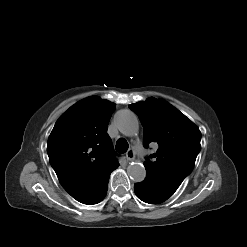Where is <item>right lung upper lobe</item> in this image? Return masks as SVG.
Segmentation results:
<instances>
[{
    "label": "right lung upper lobe",
    "mask_w": 247,
    "mask_h": 247,
    "mask_svg": "<svg viewBox=\"0 0 247 247\" xmlns=\"http://www.w3.org/2000/svg\"><path fill=\"white\" fill-rule=\"evenodd\" d=\"M115 104L91 96L70 107L56 122L47 144L51 166L75 199L119 166L107 126Z\"/></svg>",
    "instance_id": "1"
}]
</instances>
